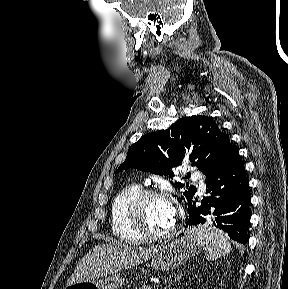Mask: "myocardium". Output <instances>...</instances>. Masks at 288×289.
<instances>
[{
    "label": "myocardium",
    "mask_w": 288,
    "mask_h": 289,
    "mask_svg": "<svg viewBox=\"0 0 288 289\" xmlns=\"http://www.w3.org/2000/svg\"><path fill=\"white\" fill-rule=\"evenodd\" d=\"M151 199H162L174 205L172 198L165 192L154 189H142L130 201L126 209L127 222L130 228L143 239H162L169 237L176 231L177 219L172 226L163 231H152L145 226L143 220V208L145 203Z\"/></svg>",
    "instance_id": "1"
}]
</instances>
